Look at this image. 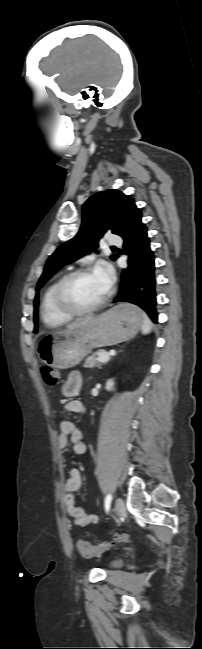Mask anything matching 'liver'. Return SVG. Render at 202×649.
<instances>
[{
    "label": "liver",
    "mask_w": 202,
    "mask_h": 649,
    "mask_svg": "<svg viewBox=\"0 0 202 649\" xmlns=\"http://www.w3.org/2000/svg\"><path fill=\"white\" fill-rule=\"evenodd\" d=\"M89 320H90V318L77 319L76 321H74V322L68 324V325L66 326V328H67V329H72V328L79 327V326L85 324L86 322H88Z\"/></svg>",
    "instance_id": "1"
}]
</instances>
